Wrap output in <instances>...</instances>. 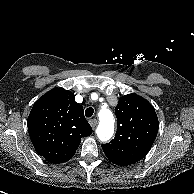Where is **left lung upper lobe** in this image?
Masks as SVG:
<instances>
[{
  "mask_svg": "<svg viewBox=\"0 0 194 194\" xmlns=\"http://www.w3.org/2000/svg\"><path fill=\"white\" fill-rule=\"evenodd\" d=\"M117 132L102 148L114 164L128 166L145 157L157 136L159 122L153 106L137 94L119 99L115 108Z\"/></svg>",
  "mask_w": 194,
  "mask_h": 194,
  "instance_id": "obj_1",
  "label": "left lung upper lobe"
}]
</instances>
